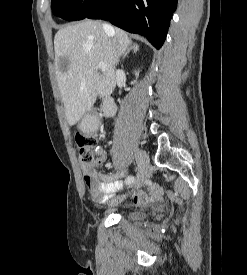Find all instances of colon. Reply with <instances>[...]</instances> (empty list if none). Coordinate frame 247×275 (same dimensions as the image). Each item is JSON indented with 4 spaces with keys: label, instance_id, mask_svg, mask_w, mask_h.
<instances>
[{
    "label": "colon",
    "instance_id": "5ec220e1",
    "mask_svg": "<svg viewBox=\"0 0 247 275\" xmlns=\"http://www.w3.org/2000/svg\"><path fill=\"white\" fill-rule=\"evenodd\" d=\"M77 144L79 145V158L83 172H86L89 166L94 161L92 148L96 144V139L93 136L78 134L76 137Z\"/></svg>",
    "mask_w": 247,
    "mask_h": 275
}]
</instances>
